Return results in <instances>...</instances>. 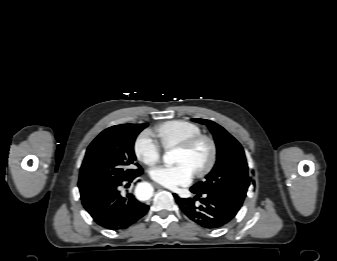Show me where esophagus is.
<instances>
[{
    "label": "esophagus",
    "mask_w": 337,
    "mask_h": 261,
    "mask_svg": "<svg viewBox=\"0 0 337 261\" xmlns=\"http://www.w3.org/2000/svg\"><path fill=\"white\" fill-rule=\"evenodd\" d=\"M154 186H155V188H157V189H159V190H162V189H163V187H162L161 185L157 184V183H155Z\"/></svg>",
    "instance_id": "34e87169"
}]
</instances>
